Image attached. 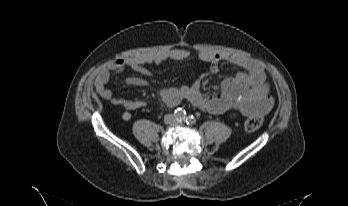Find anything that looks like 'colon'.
<instances>
[{
	"instance_id": "colon-1",
	"label": "colon",
	"mask_w": 348,
	"mask_h": 206,
	"mask_svg": "<svg viewBox=\"0 0 348 206\" xmlns=\"http://www.w3.org/2000/svg\"><path fill=\"white\" fill-rule=\"evenodd\" d=\"M263 124V117L259 114L248 116L244 121V126L247 131H256Z\"/></svg>"
}]
</instances>
